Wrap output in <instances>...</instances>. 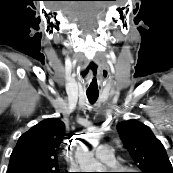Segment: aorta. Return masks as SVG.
<instances>
[{"mask_svg":"<svg viewBox=\"0 0 173 173\" xmlns=\"http://www.w3.org/2000/svg\"><path fill=\"white\" fill-rule=\"evenodd\" d=\"M100 136L97 133L88 135L87 141L93 145L98 144ZM76 158L82 172H102V165L97 162L94 155L89 150H78Z\"/></svg>","mask_w":173,"mask_h":173,"instance_id":"aorta-1","label":"aorta"}]
</instances>
